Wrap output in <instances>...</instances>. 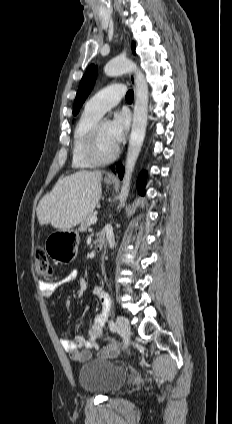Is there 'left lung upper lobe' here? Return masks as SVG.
Here are the masks:
<instances>
[{"mask_svg": "<svg viewBox=\"0 0 232 424\" xmlns=\"http://www.w3.org/2000/svg\"><path fill=\"white\" fill-rule=\"evenodd\" d=\"M132 50L133 53H135V43H132ZM97 76V67L92 64L88 67L87 71L85 72L77 91V95L74 101V108H73V115H77L82 104L84 103L85 99L91 92L95 80Z\"/></svg>", "mask_w": 232, "mask_h": 424, "instance_id": "obj_1", "label": "left lung upper lobe"}]
</instances>
